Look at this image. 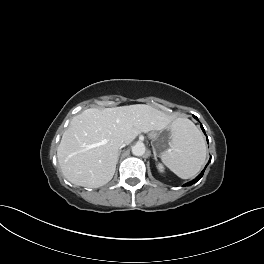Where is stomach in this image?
I'll return each instance as SVG.
<instances>
[{
  "instance_id": "obj_1",
  "label": "stomach",
  "mask_w": 264,
  "mask_h": 264,
  "mask_svg": "<svg viewBox=\"0 0 264 264\" xmlns=\"http://www.w3.org/2000/svg\"><path fill=\"white\" fill-rule=\"evenodd\" d=\"M173 130V124L170 126ZM150 139L153 142V148L157 152H164L168 148L170 142V135L166 131L152 132L149 134Z\"/></svg>"
}]
</instances>
